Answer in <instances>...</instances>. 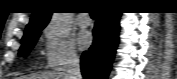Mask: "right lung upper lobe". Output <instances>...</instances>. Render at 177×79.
<instances>
[{"label":"right lung upper lobe","instance_id":"obj_1","mask_svg":"<svg viewBox=\"0 0 177 79\" xmlns=\"http://www.w3.org/2000/svg\"><path fill=\"white\" fill-rule=\"evenodd\" d=\"M52 12L44 8H38L33 12L29 24L25 29L22 40L28 38L34 32L41 31L49 22Z\"/></svg>","mask_w":177,"mask_h":79}]
</instances>
